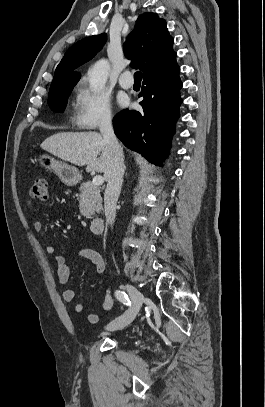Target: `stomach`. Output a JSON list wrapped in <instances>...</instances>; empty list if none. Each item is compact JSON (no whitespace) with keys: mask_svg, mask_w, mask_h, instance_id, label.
Listing matches in <instances>:
<instances>
[{"mask_svg":"<svg viewBox=\"0 0 265 407\" xmlns=\"http://www.w3.org/2000/svg\"><path fill=\"white\" fill-rule=\"evenodd\" d=\"M37 161L42 168L53 171L67 186H74L81 180V175L75 167L56 160L48 154L39 155Z\"/></svg>","mask_w":265,"mask_h":407,"instance_id":"obj_1","label":"stomach"}]
</instances>
